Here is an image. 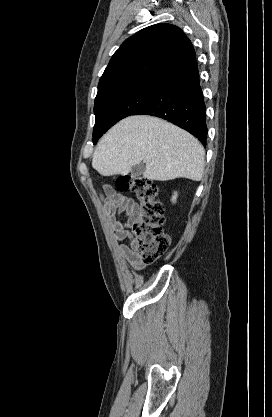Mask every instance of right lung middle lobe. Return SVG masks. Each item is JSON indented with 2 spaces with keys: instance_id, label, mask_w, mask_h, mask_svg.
I'll list each match as a JSON object with an SVG mask.
<instances>
[{
  "instance_id": "1",
  "label": "right lung middle lobe",
  "mask_w": 272,
  "mask_h": 417,
  "mask_svg": "<svg viewBox=\"0 0 272 417\" xmlns=\"http://www.w3.org/2000/svg\"><path fill=\"white\" fill-rule=\"evenodd\" d=\"M159 88V85L126 88L95 101L96 122L93 129V143H97V140L117 121L133 115Z\"/></svg>"
}]
</instances>
